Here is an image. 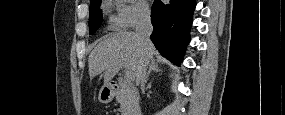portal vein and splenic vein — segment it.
Listing matches in <instances>:
<instances>
[{"instance_id":"portal-vein-and-splenic-vein-1","label":"portal vein and splenic vein","mask_w":285,"mask_h":115,"mask_svg":"<svg viewBox=\"0 0 285 115\" xmlns=\"http://www.w3.org/2000/svg\"><path fill=\"white\" fill-rule=\"evenodd\" d=\"M121 66L124 67L125 69H128L126 64L124 63H122ZM133 80H134L133 74L129 70H126L125 77H124V83L130 84Z\"/></svg>"}]
</instances>
